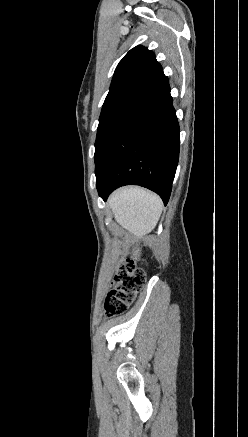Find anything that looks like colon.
Wrapping results in <instances>:
<instances>
[{"instance_id": "colon-1", "label": "colon", "mask_w": 248, "mask_h": 437, "mask_svg": "<svg viewBox=\"0 0 248 437\" xmlns=\"http://www.w3.org/2000/svg\"><path fill=\"white\" fill-rule=\"evenodd\" d=\"M145 273L132 263H122L117 269L111 290L105 300L107 317L124 313L134 302L137 294L143 289Z\"/></svg>"}]
</instances>
